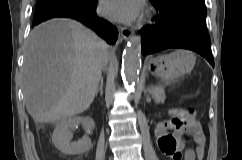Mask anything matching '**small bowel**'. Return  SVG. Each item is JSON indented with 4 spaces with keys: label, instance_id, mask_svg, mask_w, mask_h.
Returning <instances> with one entry per match:
<instances>
[{
    "label": "small bowel",
    "instance_id": "c3829d8e",
    "mask_svg": "<svg viewBox=\"0 0 242 160\" xmlns=\"http://www.w3.org/2000/svg\"><path fill=\"white\" fill-rule=\"evenodd\" d=\"M168 129L174 131L169 133ZM156 136L160 150L171 160H201L203 157L205 137L191 113H181L176 122L170 121L160 127ZM187 136L195 143L194 148L186 146Z\"/></svg>",
    "mask_w": 242,
    "mask_h": 160
}]
</instances>
